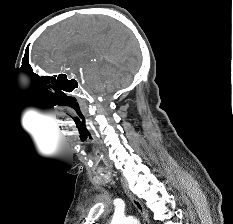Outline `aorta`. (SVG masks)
<instances>
[{
    "label": "aorta",
    "mask_w": 233,
    "mask_h": 224,
    "mask_svg": "<svg viewBox=\"0 0 233 224\" xmlns=\"http://www.w3.org/2000/svg\"><path fill=\"white\" fill-rule=\"evenodd\" d=\"M111 224H139V222L134 217L115 216Z\"/></svg>",
    "instance_id": "1"
}]
</instances>
